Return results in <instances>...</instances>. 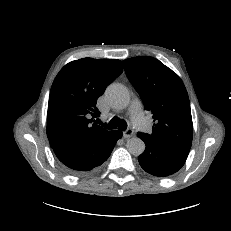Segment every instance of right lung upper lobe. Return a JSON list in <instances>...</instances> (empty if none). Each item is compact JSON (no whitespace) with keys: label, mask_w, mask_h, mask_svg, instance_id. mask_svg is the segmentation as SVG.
I'll return each instance as SVG.
<instances>
[{"label":"right lung upper lobe","mask_w":231,"mask_h":231,"mask_svg":"<svg viewBox=\"0 0 231 231\" xmlns=\"http://www.w3.org/2000/svg\"><path fill=\"white\" fill-rule=\"evenodd\" d=\"M123 72L122 62L82 58L66 64L53 81L47 113L50 146L90 142L109 131L92 122L96 101Z\"/></svg>","instance_id":"1"}]
</instances>
